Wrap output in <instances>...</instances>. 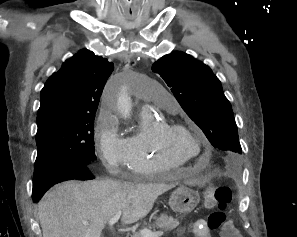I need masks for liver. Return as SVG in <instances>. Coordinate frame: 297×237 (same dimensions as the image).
I'll return each mask as SVG.
<instances>
[{"label":"liver","instance_id":"obj_1","mask_svg":"<svg viewBox=\"0 0 297 237\" xmlns=\"http://www.w3.org/2000/svg\"><path fill=\"white\" fill-rule=\"evenodd\" d=\"M173 187L114 180L58 184L38 203L43 237H100L117 212H122V223H135L147 216L158 196Z\"/></svg>","mask_w":297,"mask_h":237}]
</instances>
